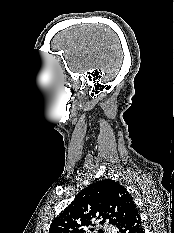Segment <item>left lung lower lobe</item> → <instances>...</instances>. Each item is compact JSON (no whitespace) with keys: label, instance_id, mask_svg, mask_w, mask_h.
Returning a JSON list of instances; mask_svg holds the SVG:
<instances>
[{"label":"left lung lower lobe","instance_id":"left-lung-lower-lobe-1","mask_svg":"<svg viewBox=\"0 0 174 233\" xmlns=\"http://www.w3.org/2000/svg\"><path fill=\"white\" fill-rule=\"evenodd\" d=\"M119 233H144L138 211L118 226Z\"/></svg>","mask_w":174,"mask_h":233}]
</instances>
